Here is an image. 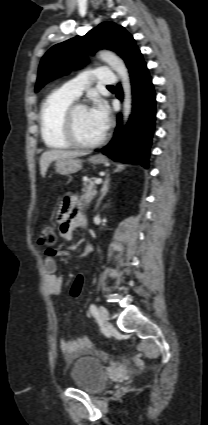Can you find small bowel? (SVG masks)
Returning <instances> with one entry per match:
<instances>
[{
    "instance_id": "c3829d8e",
    "label": "small bowel",
    "mask_w": 208,
    "mask_h": 425,
    "mask_svg": "<svg viewBox=\"0 0 208 425\" xmlns=\"http://www.w3.org/2000/svg\"><path fill=\"white\" fill-rule=\"evenodd\" d=\"M57 221L59 224V232L62 238L70 240L73 232L83 227L86 224V217L80 210L77 199L73 195H68L63 200L57 215ZM92 247L90 245L85 246L79 257H85L91 253ZM66 255L70 253L48 250L44 259V271H45V285L49 295L57 296L62 292L63 277L56 275L57 263L54 259L55 256ZM91 342L88 337L82 336L76 340L67 341L62 340L60 342V349L62 353L70 358L78 355L82 350L89 348Z\"/></svg>"
}]
</instances>
